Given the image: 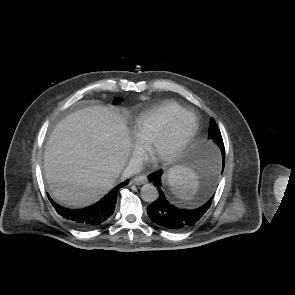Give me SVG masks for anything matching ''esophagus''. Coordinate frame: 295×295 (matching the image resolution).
Listing matches in <instances>:
<instances>
[{
	"instance_id": "1",
	"label": "esophagus",
	"mask_w": 295,
	"mask_h": 295,
	"mask_svg": "<svg viewBox=\"0 0 295 295\" xmlns=\"http://www.w3.org/2000/svg\"><path fill=\"white\" fill-rule=\"evenodd\" d=\"M133 182L135 184H144L147 182V176L146 175H139V176H136L134 179H133Z\"/></svg>"
}]
</instances>
